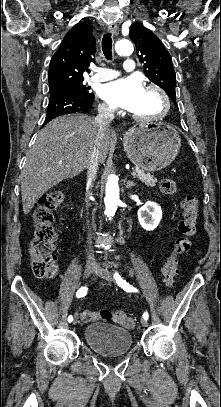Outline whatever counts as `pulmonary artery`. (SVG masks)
Returning <instances> with one entry per match:
<instances>
[{"mask_svg":"<svg viewBox=\"0 0 221 407\" xmlns=\"http://www.w3.org/2000/svg\"><path fill=\"white\" fill-rule=\"evenodd\" d=\"M123 68L124 71L127 73H131L135 70L136 65L134 63L132 56H127L123 58ZM119 74L120 73L114 69L102 67L99 69L97 74L91 77V81L96 83L104 82L116 78L117 76H119Z\"/></svg>","mask_w":221,"mask_h":407,"instance_id":"pulmonary-artery-1","label":"pulmonary artery"}]
</instances>
